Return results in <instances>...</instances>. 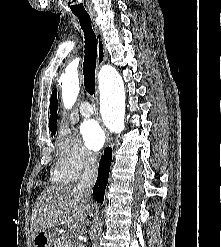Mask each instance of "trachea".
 I'll return each instance as SVG.
<instances>
[{
    "label": "trachea",
    "instance_id": "1",
    "mask_svg": "<svg viewBox=\"0 0 221 247\" xmlns=\"http://www.w3.org/2000/svg\"><path fill=\"white\" fill-rule=\"evenodd\" d=\"M80 22L85 38V57L83 75L85 90L90 94L95 93V68L97 58V39L91 26L89 15L75 14Z\"/></svg>",
    "mask_w": 221,
    "mask_h": 247
}]
</instances>
